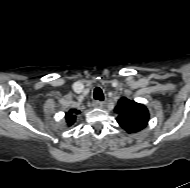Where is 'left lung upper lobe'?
<instances>
[{
  "label": "left lung upper lobe",
  "mask_w": 190,
  "mask_h": 188,
  "mask_svg": "<svg viewBox=\"0 0 190 188\" xmlns=\"http://www.w3.org/2000/svg\"><path fill=\"white\" fill-rule=\"evenodd\" d=\"M115 112L117 122L128 133H136L144 129L149 121V112L145 105L122 97L118 100Z\"/></svg>",
  "instance_id": "obj_1"
}]
</instances>
